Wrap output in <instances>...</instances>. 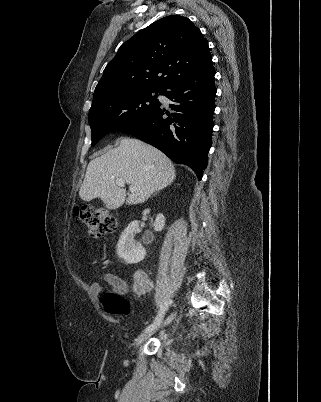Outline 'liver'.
<instances>
[{"mask_svg": "<svg viewBox=\"0 0 321 402\" xmlns=\"http://www.w3.org/2000/svg\"><path fill=\"white\" fill-rule=\"evenodd\" d=\"M175 177L174 165L160 150L141 140L123 137L118 147L89 162L79 196L84 201L100 198L107 209L115 210L124 203L145 202ZM119 178L135 187L127 198L126 190L116 184Z\"/></svg>", "mask_w": 321, "mask_h": 402, "instance_id": "obj_1", "label": "liver"}]
</instances>
